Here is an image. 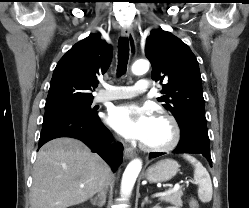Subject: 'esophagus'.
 Listing matches in <instances>:
<instances>
[{
	"label": "esophagus",
	"mask_w": 249,
	"mask_h": 208,
	"mask_svg": "<svg viewBox=\"0 0 249 208\" xmlns=\"http://www.w3.org/2000/svg\"><path fill=\"white\" fill-rule=\"evenodd\" d=\"M121 33L123 37L128 39L131 54L134 56L136 54V40L133 31L130 28H123ZM124 155L126 159H132L136 156V152L131 147L125 146Z\"/></svg>",
	"instance_id": "34e87169"
}]
</instances>
